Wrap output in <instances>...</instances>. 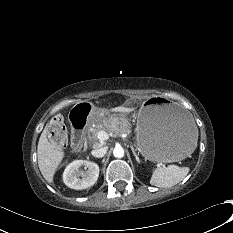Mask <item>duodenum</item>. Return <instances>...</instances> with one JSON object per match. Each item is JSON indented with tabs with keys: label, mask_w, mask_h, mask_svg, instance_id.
<instances>
[{
	"label": "duodenum",
	"mask_w": 233,
	"mask_h": 233,
	"mask_svg": "<svg viewBox=\"0 0 233 233\" xmlns=\"http://www.w3.org/2000/svg\"><path fill=\"white\" fill-rule=\"evenodd\" d=\"M90 115V106L86 103H79L70 116V123L73 126L72 143L75 149H81L86 143L87 119Z\"/></svg>",
	"instance_id": "duodenum-1"
}]
</instances>
